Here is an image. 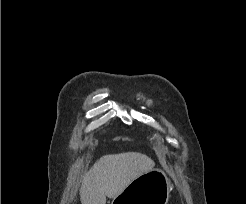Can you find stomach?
I'll return each instance as SVG.
<instances>
[{
	"label": "stomach",
	"instance_id": "0dacf381",
	"mask_svg": "<svg viewBox=\"0 0 246 204\" xmlns=\"http://www.w3.org/2000/svg\"><path fill=\"white\" fill-rule=\"evenodd\" d=\"M170 181L160 169H152L134 179L112 204H167Z\"/></svg>",
	"mask_w": 246,
	"mask_h": 204
}]
</instances>
